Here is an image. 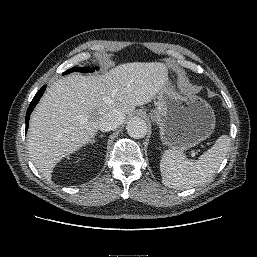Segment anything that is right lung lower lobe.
I'll list each match as a JSON object with an SVG mask.
<instances>
[{
  "mask_svg": "<svg viewBox=\"0 0 257 257\" xmlns=\"http://www.w3.org/2000/svg\"><path fill=\"white\" fill-rule=\"evenodd\" d=\"M46 85H44L34 96L32 102L30 103V106L27 110L26 113V117H25V122H26V131L28 129V124H29V118H30V114L32 112V110L34 109L35 105L38 103L39 99L41 98V96L43 95L44 91H45Z\"/></svg>",
  "mask_w": 257,
  "mask_h": 257,
  "instance_id": "obj_1",
  "label": "right lung lower lobe"
}]
</instances>
